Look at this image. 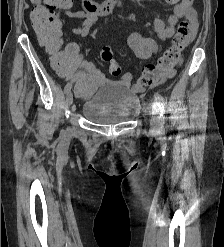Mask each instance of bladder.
<instances>
[{"mask_svg":"<svg viewBox=\"0 0 224 247\" xmlns=\"http://www.w3.org/2000/svg\"><path fill=\"white\" fill-rule=\"evenodd\" d=\"M138 97L129 88L104 84L85 99L81 106L83 117L97 125H117L132 119L137 112Z\"/></svg>","mask_w":224,"mask_h":247,"instance_id":"1","label":"bladder"}]
</instances>
